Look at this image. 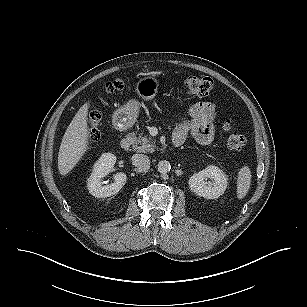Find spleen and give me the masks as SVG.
I'll use <instances>...</instances> for the list:
<instances>
[{
  "instance_id": "obj_1",
  "label": "spleen",
  "mask_w": 307,
  "mask_h": 307,
  "mask_svg": "<svg viewBox=\"0 0 307 307\" xmlns=\"http://www.w3.org/2000/svg\"><path fill=\"white\" fill-rule=\"evenodd\" d=\"M251 184V171L248 166H243L238 172L237 198L243 199L249 191Z\"/></svg>"
}]
</instances>
